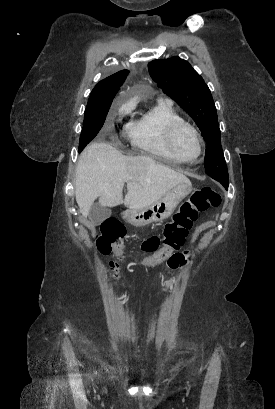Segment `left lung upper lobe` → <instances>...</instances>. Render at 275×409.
<instances>
[{"label":"left lung upper lobe","mask_w":275,"mask_h":409,"mask_svg":"<svg viewBox=\"0 0 275 409\" xmlns=\"http://www.w3.org/2000/svg\"><path fill=\"white\" fill-rule=\"evenodd\" d=\"M150 76L159 88L176 101L196 122L207 143L205 171L217 181L228 183L216 107L208 86L192 66L179 57L154 60Z\"/></svg>","instance_id":"5c2ea615"}]
</instances>
